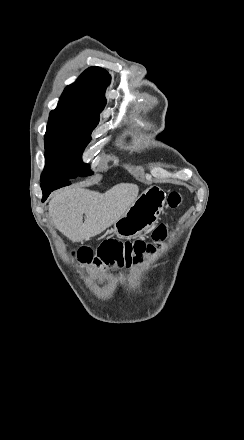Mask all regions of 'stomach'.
Listing matches in <instances>:
<instances>
[{"label": "stomach", "mask_w": 244, "mask_h": 440, "mask_svg": "<svg viewBox=\"0 0 244 440\" xmlns=\"http://www.w3.org/2000/svg\"><path fill=\"white\" fill-rule=\"evenodd\" d=\"M166 202V194L159 186H150L140 194L122 218L114 224V234L122 240L141 236L157 224Z\"/></svg>", "instance_id": "stomach-1"}]
</instances>
